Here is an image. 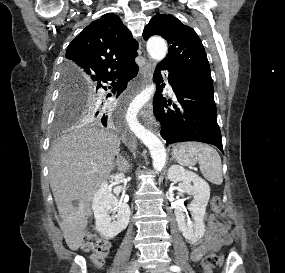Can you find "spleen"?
<instances>
[{
  "mask_svg": "<svg viewBox=\"0 0 285 273\" xmlns=\"http://www.w3.org/2000/svg\"><path fill=\"white\" fill-rule=\"evenodd\" d=\"M172 155L183 166L199 163L201 173L209 182L222 184L221 158L211 146L198 142H183L173 148Z\"/></svg>",
  "mask_w": 285,
  "mask_h": 273,
  "instance_id": "3e777b00",
  "label": "spleen"
}]
</instances>
